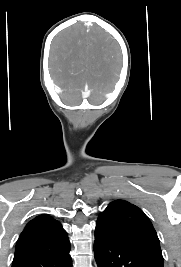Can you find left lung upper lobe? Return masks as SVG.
I'll return each mask as SVG.
<instances>
[{
    "label": "left lung upper lobe",
    "mask_w": 181,
    "mask_h": 267,
    "mask_svg": "<svg viewBox=\"0 0 181 267\" xmlns=\"http://www.w3.org/2000/svg\"><path fill=\"white\" fill-rule=\"evenodd\" d=\"M96 232H104L163 261L159 239L149 218L137 206L114 200L99 215Z\"/></svg>",
    "instance_id": "5c2ea615"
}]
</instances>
